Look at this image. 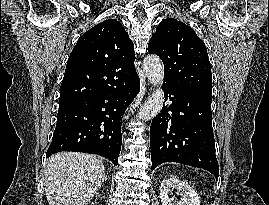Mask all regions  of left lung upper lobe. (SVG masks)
<instances>
[{"label":"left lung upper lobe","mask_w":269,"mask_h":205,"mask_svg":"<svg viewBox=\"0 0 269 205\" xmlns=\"http://www.w3.org/2000/svg\"><path fill=\"white\" fill-rule=\"evenodd\" d=\"M148 51L164 64V84L183 91L211 92V67L204 42L183 22L166 18L157 26Z\"/></svg>","instance_id":"left-lung-upper-lobe-1"}]
</instances>
